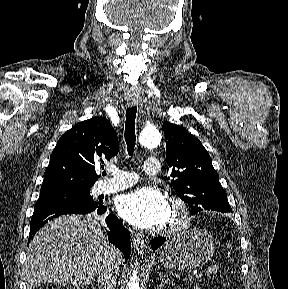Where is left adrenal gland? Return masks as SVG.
I'll use <instances>...</instances> for the list:
<instances>
[{
    "label": "left adrenal gland",
    "mask_w": 288,
    "mask_h": 289,
    "mask_svg": "<svg viewBox=\"0 0 288 289\" xmlns=\"http://www.w3.org/2000/svg\"><path fill=\"white\" fill-rule=\"evenodd\" d=\"M160 281H161V284H160V288H162V286H164V284L168 283L171 281V279L168 277L167 275V278H166V275H160Z\"/></svg>",
    "instance_id": "1"
}]
</instances>
